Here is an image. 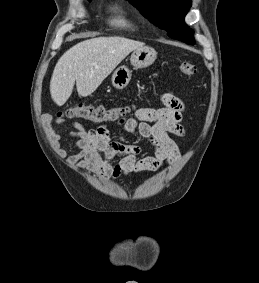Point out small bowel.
I'll list each match as a JSON object with an SVG mask.
<instances>
[{
  "instance_id": "c3829d8e",
  "label": "small bowel",
  "mask_w": 259,
  "mask_h": 283,
  "mask_svg": "<svg viewBox=\"0 0 259 283\" xmlns=\"http://www.w3.org/2000/svg\"><path fill=\"white\" fill-rule=\"evenodd\" d=\"M159 108H139L133 117L119 121L126 133L138 132L149 140L151 154L140 158L143 149L134 144L113 141L107 126L87 129L80 123L68 122L57 117L55 125H67L71 131L66 137L73 140L78 152L68 155L66 162L77 169H85L104 178L117 179L132 173H149L164 164L176 162L180 156L178 146L171 135L183 136V102L172 93L160 97ZM49 119V117H45ZM62 150V153H65ZM117 159V162L113 161Z\"/></svg>"
}]
</instances>
